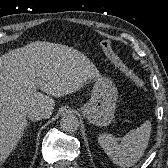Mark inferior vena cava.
Returning a JSON list of instances; mask_svg holds the SVG:
<instances>
[{
	"label": "inferior vena cava",
	"mask_w": 168,
	"mask_h": 168,
	"mask_svg": "<svg viewBox=\"0 0 168 168\" xmlns=\"http://www.w3.org/2000/svg\"><path fill=\"white\" fill-rule=\"evenodd\" d=\"M47 116V113L37 108L31 109L27 114L28 119L31 121H40L44 118H47Z\"/></svg>",
	"instance_id": "602c4592"
}]
</instances>
